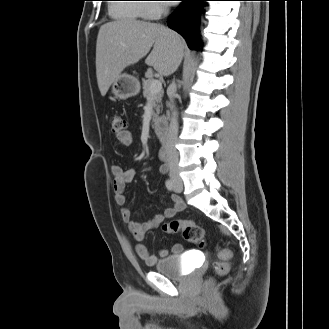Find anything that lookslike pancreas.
Here are the masks:
<instances>
[{"mask_svg":"<svg viewBox=\"0 0 329 329\" xmlns=\"http://www.w3.org/2000/svg\"><path fill=\"white\" fill-rule=\"evenodd\" d=\"M153 75L151 73H148L146 75V79L142 80V84H143V96L147 99V100H152V105L154 108V111L152 113L153 116V122H157L158 120V115L160 113V103L163 97V90H161L160 92L152 95L150 92V85L151 82L153 81Z\"/></svg>","mask_w":329,"mask_h":329,"instance_id":"1","label":"pancreas"}]
</instances>
